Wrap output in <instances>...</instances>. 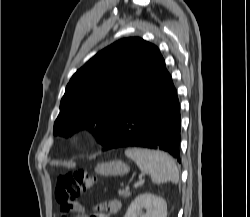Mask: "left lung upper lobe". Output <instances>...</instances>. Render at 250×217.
<instances>
[{
  "mask_svg": "<svg viewBox=\"0 0 250 217\" xmlns=\"http://www.w3.org/2000/svg\"><path fill=\"white\" fill-rule=\"evenodd\" d=\"M159 54L155 45L137 37L119 40L98 52L66 86L54 135L68 137L88 129L102 144Z\"/></svg>",
  "mask_w": 250,
  "mask_h": 217,
  "instance_id": "obj_1",
  "label": "left lung upper lobe"
}]
</instances>
